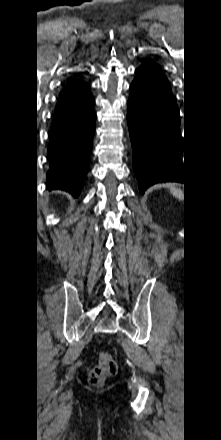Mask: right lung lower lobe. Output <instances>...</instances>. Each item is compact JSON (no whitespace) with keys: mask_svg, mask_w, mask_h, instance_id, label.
I'll use <instances>...</instances> for the list:
<instances>
[{"mask_svg":"<svg viewBox=\"0 0 221 440\" xmlns=\"http://www.w3.org/2000/svg\"><path fill=\"white\" fill-rule=\"evenodd\" d=\"M95 100L82 80L68 83L58 100L51 129L50 189H61L77 197L89 164L95 131Z\"/></svg>","mask_w":221,"mask_h":440,"instance_id":"1","label":"right lung lower lobe"}]
</instances>
